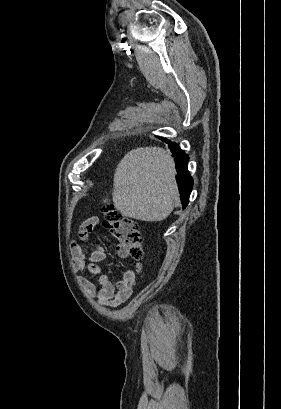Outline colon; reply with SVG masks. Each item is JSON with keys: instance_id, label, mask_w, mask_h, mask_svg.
Listing matches in <instances>:
<instances>
[{"instance_id": "colon-1", "label": "colon", "mask_w": 281, "mask_h": 409, "mask_svg": "<svg viewBox=\"0 0 281 409\" xmlns=\"http://www.w3.org/2000/svg\"><path fill=\"white\" fill-rule=\"evenodd\" d=\"M103 226L114 234L125 253L135 260L143 256L141 229L134 220L118 209L106 205L101 208Z\"/></svg>"}]
</instances>
